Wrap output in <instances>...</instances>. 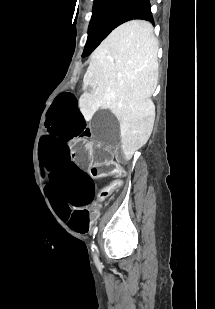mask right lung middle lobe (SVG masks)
<instances>
[{
    "mask_svg": "<svg viewBox=\"0 0 215 309\" xmlns=\"http://www.w3.org/2000/svg\"><path fill=\"white\" fill-rule=\"evenodd\" d=\"M132 0H94L93 14L83 57L88 56L100 42L117 27V23Z\"/></svg>",
    "mask_w": 215,
    "mask_h": 309,
    "instance_id": "1",
    "label": "right lung middle lobe"
}]
</instances>
